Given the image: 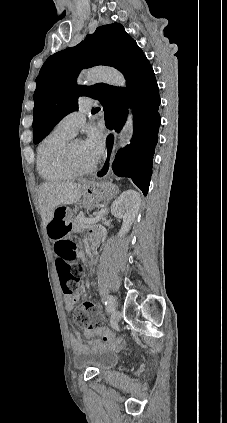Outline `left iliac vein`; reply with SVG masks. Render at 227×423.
<instances>
[{"label": "left iliac vein", "mask_w": 227, "mask_h": 423, "mask_svg": "<svg viewBox=\"0 0 227 423\" xmlns=\"http://www.w3.org/2000/svg\"><path fill=\"white\" fill-rule=\"evenodd\" d=\"M116 306V301H115V303L114 304H111V306ZM120 318H121V312L118 310V309H114V311H113V313H112V318H111V321L115 324V325H117L118 323H119V321H120Z\"/></svg>", "instance_id": "obj_1"}]
</instances>
